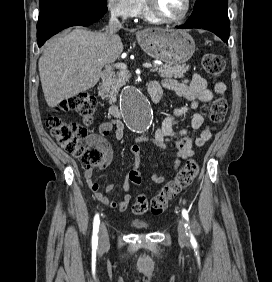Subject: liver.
Instances as JSON below:
<instances>
[{
	"label": "liver",
	"mask_w": 272,
	"mask_h": 282,
	"mask_svg": "<svg viewBox=\"0 0 272 282\" xmlns=\"http://www.w3.org/2000/svg\"><path fill=\"white\" fill-rule=\"evenodd\" d=\"M123 52L121 38L107 31L76 28L48 40L38 66L42 89L49 107L97 84L105 65Z\"/></svg>",
	"instance_id": "6515ba94"
}]
</instances>
